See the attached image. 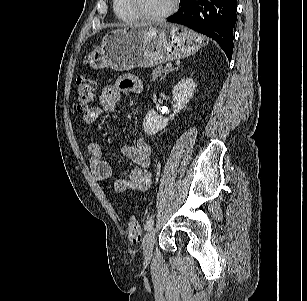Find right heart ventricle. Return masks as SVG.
I'll return each mask as SVG.
<instances>
[{"label": "right heart ventricle", "mask_w": 307, "mask_h": 301, "mask_svg": "<svg viewBox=\"0 0 307 301\" xmlns=\"http://www.w3.org/2000/svg\"><path fill=\"white\" fill-rule=\"evenodd\" d=\"M114 12L118 19L124 23H133L138 21V17L133 13L128 0H112Z\"/></svg>", "instance_id": "e07e8e85"}]
</instances>
